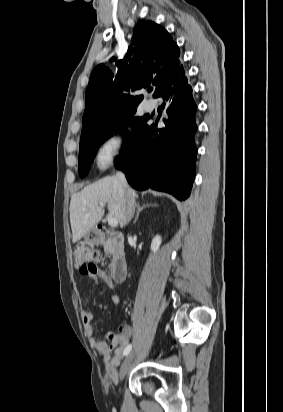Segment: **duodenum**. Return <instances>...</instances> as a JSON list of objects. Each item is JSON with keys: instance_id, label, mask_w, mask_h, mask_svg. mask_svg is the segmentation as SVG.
<instances>
[{"instance_id": "1", "label": "duodenum", "mask_w": 283, "mask_h": 412, "mask_svg": "<svg viewBox=\"0 0 283 412\" xmlns=\"http://www.w3.org/2000/svg\"><path fill=\"white\" fill-rule=\"evenodd\" d=\"M97 245H108L112 254L111 276L123 283L127 277V261L123 251V238L120 233L112 231L104 226H98L95 233Z\"/></svg>"}]
</instances>
